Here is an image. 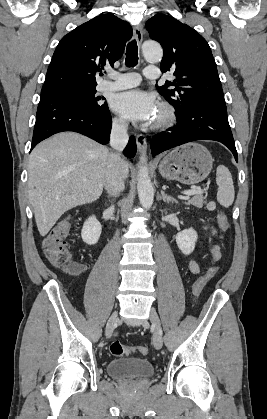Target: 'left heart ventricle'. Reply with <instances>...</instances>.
<instances>
[{
  "mask_svg": "<svg viewBox=\"0 0 267 419\" xmlns=\"http://www.w3.org/2000/svg\"><path fill=\"white\" fill-rule=\"evenodd\" d=\"M159 117H160V112H159V110H158L157 115H156V117H155V121H156L157 119H159Z\"/></svg>",
  "mask_w": 267,
  "mask_h": 419,
  "instance_id": "1",
  "label": "left heart ventricle"
}]
</instances>
